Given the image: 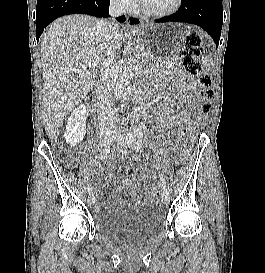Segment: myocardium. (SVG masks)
Listing matches in <instances>:
<instances>
[{
	"mask_svg": "<svg viewBox=\"0 0 265 273\" xmlns=\"http://www.w3.org/2000/svg\"><path fill=\"white\" fill-rule=\"evenodd\" d=\"M182 2H183V0H175V3L171 8L164 10V11H153V10L148 9L144 5L143 1H141L140 5H139V13L146 16V17H149V18L169 17V16L173 15L174 13H176L180 9Z\"/></svg>",
	"mask_w": 265,
	"mask_h": 273,
	"instance_id": "obj_1",
	"label": "myocardium"
}]
</instances>
